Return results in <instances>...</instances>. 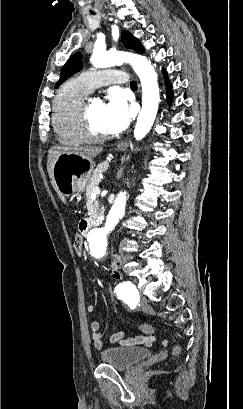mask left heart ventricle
<instances>
[{
	"label": "left heart ventricle",
	"instance_id": "1",
	"mask_svg": "<svg viewBox=\"0 0 243 409\" xmlns=\"http://www.w3.org/2000/svg\"><path fill=\"white\" fill-rule=\"evenodd\" d=\"M105 104L101 100H91L88 105L90 123L94 131L105 134L103 124V111Z\"/></svg>",
	"mask_w": 243,
	"mask_h": 409
}]
</instances>
